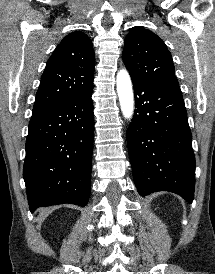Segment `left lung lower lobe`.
<instances>
[{
    "label": "left lung lower lobe",
    "mask_w": 215,
    "mask_h": 274,
    "mask_svg": "<svg viewBox=\"0 0 215 274\" xmlns=\"http://www.w3.org/2000/svg\"><path fill=\"white\" fill-rule=\"evenodd\" d=\"M135 113L127 143L141 196L170 191L192 202L195 156L183 97L133 79Z\"/></svg>",
    "instance_id": "left-lung-lower-lobe-1"
}]
</instances>
